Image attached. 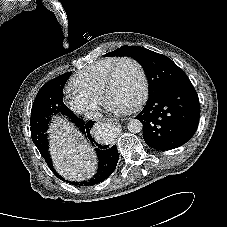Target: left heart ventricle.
Segmentation results:
<instances>
[{"mask_svg":"<svg viewBox=\"0 0 227 227\" xmlns=\"http://www.w3.org/2000/svg\"><path fill=\"white\" fill-rule=\"evenodd\" d=\"M141 84L136 66L130 62L122 63L109 93V103L131 106L140 93Z\"/></svg>","mask_w":227,"mask_h":227,"instance_id":"left-heart-ventricle-1","label":"left heart ventricle"}]
</instances>
